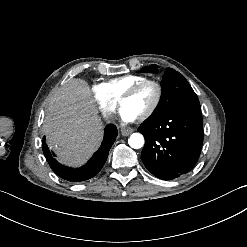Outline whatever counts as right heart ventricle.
<instances>
[{
    "label": "right heart ventricle",
    "mask_w": 247,
    "mask_h": 247,
    "mask_svg": "<svg viewBox=\"0 0 247 247\" xmlns=\"http://www.w3.org/2000/svg\"><path fill=\"white\" fill-rule=\"evenodd\" d=\"M145 80L141 76H123L107 82L104 87L107 89V94L110 98L118 100L121 96L129 92L134 86Z\"/></svg>",
    "instance_id": "e07e8e85"
}]
</instances>
